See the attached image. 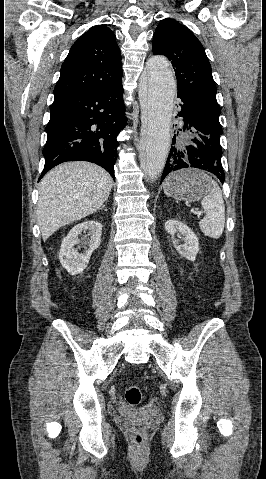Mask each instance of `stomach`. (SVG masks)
I'll use <instances>...</instances> for the list:
<instances>
[{
	"instance_id": "stomach-1",
	"label": "stomach",
	"mask_w": 266,
	"mask_h": 479,
	"mask_svg": "<svg viewBox=\"0 0 266 479\" xmlns=\"http://www.w3.org/2000/svg\"><path fill=\"white\" fill-rule=\"evenodd\" d=\"M210 178L197 169H185L172 173L164 183V192L176 200L194 202L209 190Z\"/></svg>"
}]
</instances>
